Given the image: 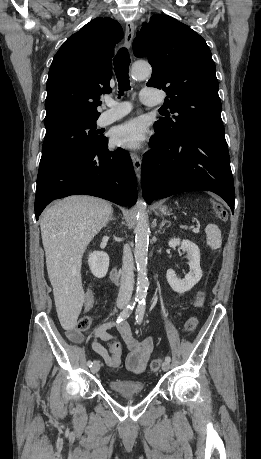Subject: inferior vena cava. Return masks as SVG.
Wrapping results in <instances>:
<instances>
[{
    "label": "inferior vena cava",
    "instance_id": "obj_1",
    "mask_svg": "<svg viewBox=\"0 0 261 459\" xmlns=\"http://www.w3.org/2000/svg\"><path fill=\"white\" fill-rule=\"evenodd\" d=\"M123 265L121 270L120 288L117 297L118 304H127L131 298L134 287V265L131 249L128 245L123 248Z\"/></svg>",
    "mask_w": 261,
    "mask_h": 459
}]
</instances>
